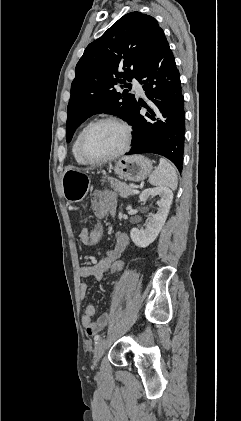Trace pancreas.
<instances>
[{
    "label": "pancreas",
    "mask_w": 241,
    "mask_h": 421,
    "mask_svg": "<svg viewBox=\"0 0 241 421\" xmlns=\"http://www.w3.org/2000/svg\"><path fill=\"white\" fill-rule=\"evenodd\" d=\"M111 188L114 189L121 197L127 198L128 196L134 195L133 188L124 182L118 181L113 178H108Z\"/></svg>",
    "instance_id": "1"
}]
</instances>
